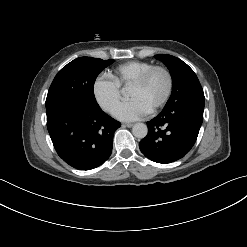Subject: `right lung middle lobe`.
Instances as JSON below:
<instances>
[{
    "label": "right lung middle lobe",
    "mask_w": 247,
    "mask_h": 247,
    "mask_svg": "<svg viewBox=\"0 0 247 247\" xmlns=\"http://www.w3.org/2000/svg\"><path fill=\"white\" fill-rule=\"evenodd\" d=\"M114 60L79 57L64 66L55 76L46 98V108L64 101L99 107L94 96L98 74Z\"/></svg>",
    "instance_id": "obj_1"
}]
</instances>
